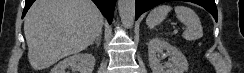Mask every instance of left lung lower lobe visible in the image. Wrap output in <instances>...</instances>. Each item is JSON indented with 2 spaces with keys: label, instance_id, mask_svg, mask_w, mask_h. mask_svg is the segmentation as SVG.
I'll return each instance as SVG.
<instances>
[{
  "label": "left lung lower lobe",
  "instance_id": "0a47b994",
  "mask_svg": "<svg viewBox=\"0 0 244 73\" xmlns=\"http://www.w3.org/2000/svg\"><path fill=\"white\" fill-rule=\"evenodd\" d=\"M166 1L169 0H136L135 19L137 20L142 13ZM190 2L196 3L204 7L208 12H210L213 15V17L217 21L218 14L215 5V0H191Z\"/></svg>",
  "mask_w": 244,
  "mask_h": 73
}]
</instances>
